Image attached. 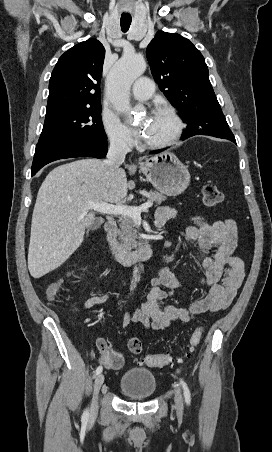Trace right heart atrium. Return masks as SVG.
<instances>
[{"mask_svg": "<svg viewBox=\"0 0 272 452\" xmlns=\"http://www.w3.org/2000/svg\"><path fill=\"white\" fill-rule=\"evenodd\" d=\"M101 123L111 144L123 149H128L134 144L130 130L116 116L103 113Z\"/></svg>", "mask_w": 272, "mask_h": 452, "instance_id": "right-heart-atrium-1", "label": "right heart atrium"}]
</instances>
